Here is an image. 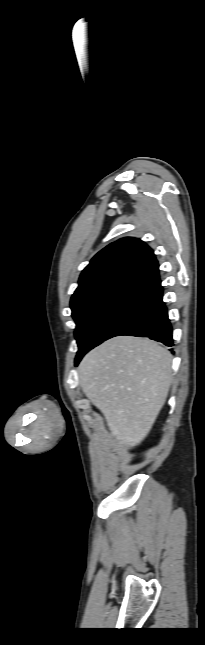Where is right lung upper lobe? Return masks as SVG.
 <instances>
[{
    "label": "right lung upper lobe",
    "mask_w": 205,
    "mask_h": 645,
    "mask_svg": "<svg viewBox=\"0 0 205 645\" xmlns=\"http://www.w3.org/2000/svg\"><path fill=\"white\" fill-rule=\"evenodd\" d=\"M160 282L153 250L137 238H122L97 253L82 271L71 305L123 287L150 290Z\"/></svg>",
    "instance_id": "cb5924a9"
}]
</instances>
